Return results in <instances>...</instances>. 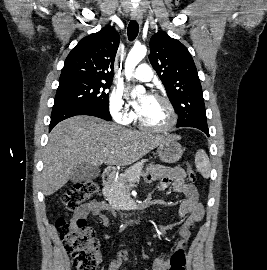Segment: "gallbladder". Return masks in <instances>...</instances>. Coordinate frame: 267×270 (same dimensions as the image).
Segmentation results:
<instances>
[{
  "mask_svg": "<svg viewBox=\"0 0 267 270\" xmlns=\"http://www.w3.org/2000/svg\"><path fill=\"white\" fill-rule=\"evenodd\" d=\"M100 175V169L87 163H81L72 169L70 180L73 183L87 182L97 178Z\"/></svg>",
  "mask_w": 267,
  "mask_h": 270,
  "instance_id": "obj_1",
  "label": "gallbladder"
}]
</instances>
